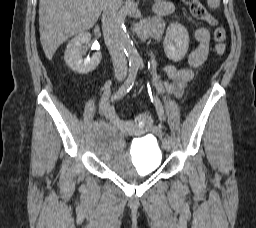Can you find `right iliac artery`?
<instances>
[{
  "instance_id": "82829eb1",
  "label": "right iliac artery",
  "mask_w": 256,
  "mask_h": 228,
  "mask_svg": "<svg viewBox=\"0 0 256 228\" xmlns=\"http://www.w3.org/2000/svg\"><path fill=\"white\" fill-rule=\"evenodd\" d=\"M138 71V66L136 65H130L129 67V74L125 82L122 84V86L119 88L116 94L112 96V100L119 99L123 97L126 93L129 92V90L132 88L136 75ZM91 126L93 128H97L99 126L98 121H94Z\"/></svg>"
}]
</instances>
